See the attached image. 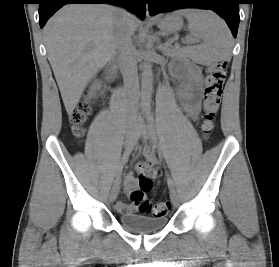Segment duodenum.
Listing matches in <instances>:
<instances>
[{"instance_id":"1","label":"duodenum","mask_w":279,"mask_h":267,"mask_svg":"<svg viewBox=\"0 0 279 267\" xmlns=\"http://www.w3.org/2000/svg\"><path fill=\"white\" fill-rule=\"evenodd\" d=\"M109 76H110V78L111 79H116V77H117V71H116V69L113 67V68H111V70H110V73H109Z\"/></svg>"}]
</instances>
